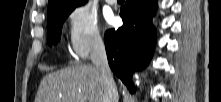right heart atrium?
<instances>
[{
  "label": "right heart atrium",
  "mask_w": 221,
  "mask_h": 102,
  "mask_svg": "<svg viewBox=\"0 0 221 102\" xmlns=\"http://www.w3.org/2000/svg\"><path fill=\"white\" fill-rule=\"evenodd\" d=\"M68 43L78 59L86 58L103 44L99 20L88 7L77 6L68 16Z\"/></svg>",
  "instance_id": "1"
}]
</instances>
